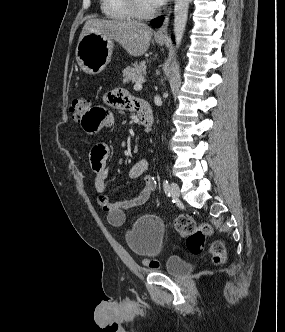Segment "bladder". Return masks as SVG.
<instances>
[{
    "label": "bladder",
    "instance_id": "31cf9c89",
    "mask_svg": "<svg viewBox=\"0 0 285 332\" xmlns=\"http://www.w3.org/2000/svg\"><path fill=\"white\" fill-rule=\"evenodd\" d=\"M165 237V226L160 218L144 215L135 220L125 234L130 251L146 257L158 253ZM190 270V264L179 256H171L166 261V272L171 276H183Z\"/></svg>",
    "mask_w": 285,
    "mask_h": 332
}]
</instances>
